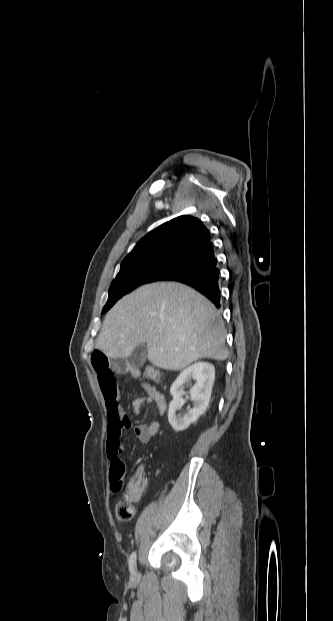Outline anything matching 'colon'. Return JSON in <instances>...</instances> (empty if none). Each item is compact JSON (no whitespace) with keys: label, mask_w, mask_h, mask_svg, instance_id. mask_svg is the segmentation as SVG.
<instances>
[{"label":"colon","mask_w":333,"mask_h":621,"mask_svg":"<svg viewBox=\"0 0 333 621\" xmlns=\"http://www.w3.org/2000/svg\"><path fill=\"white\" fill-rule=\"evenodd\" d=\"M146 378L153 382L160 380V372L155 366H147L144 370ZM125 463L116 462L110 467V484L114 492L121 493L116 504V517L120 521H129L133 518L135 510L133 503L143 494L146 488V476L143 468L137 470L134 475L125 482Z\"/></svg>","instance_id":"1"}]
</instances>
